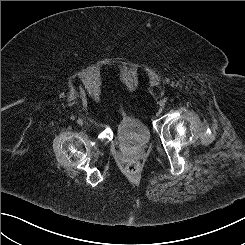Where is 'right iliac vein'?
<instances>
[{"label": "right iliac vein", "instance_id": "63e3f726", "mask_svg": "<svg viewBox=\"0 0 245 245\" xmlns=\"http://www.w3.org/2000/svg\"><path fill=\"white\" fill-rule=\"evenodd\" d=\"M76 123L78 125H81L82 126L83 125V120L79 118V119H77Z\"/></svg>", "mask_w": 245, "mask_h": 245}]
</instances>
